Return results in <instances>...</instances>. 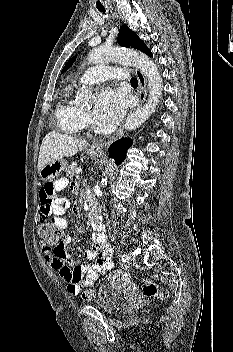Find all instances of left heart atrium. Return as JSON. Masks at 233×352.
I'll return each mask as SVG.
<instances>
[{
  "mask_svg": "<svg viewBox=\"0 0 233 352\" xmlns=\"http://www.w3.org/2000/svg\"><path fill=\"white\" fill-rule=\"evenodd\" d=\"M128 105L127 95L114 88H105L99 95L94 117L105 128L113 127L124 115Z\"/></svg>",
  "mask_w": 233,
  "mask_h": 352,
  "instance_id": "obj_1",
  "label": "left heart atrium"
}]
</instances>
